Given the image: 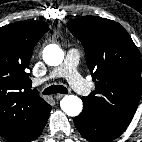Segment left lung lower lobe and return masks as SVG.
<instances>
[{
    "label": "left lung lower lobe",
    "instance_id": "left-lung-lower-lobe-1",
    "mask_svg": "<svg viewBox=\"0 0 142 142\" xmlns=\"http://www.w3.org/2000/svg\"><path fill=\"white\" fill-rule=\"evenodd\" d=\"M74 123L80 134L89 142H110L127 128L115 124L85 102L83 111L74 118Z\"/></svg>",
    "mask_w": 142,
    "mask_h": 142
}]
</instances>
